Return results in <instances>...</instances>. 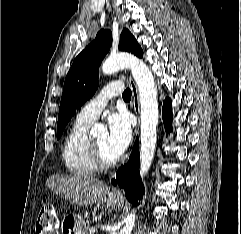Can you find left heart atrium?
<instances>
[{"instance_id":"obj_1","label":"left heart atrium","mask_w":241,"mask_h":234,"mask_svg":"<svg viewBox=\"0 0 241 234\" xmlns=\"http://www.w3.org/2000/svg\"><path fill=\"white\" fill-rule=\"evenodd\" d=\"M108 137L112 149L122 154L131 141L132 129L128 116L114 113L108 118Z\"/></svg>"}]
</instances>
